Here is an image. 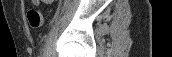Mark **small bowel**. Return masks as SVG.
I'll list each match as a JSON object with an SVG mask.
<instances>
[{
	"instance_id": "obj_1",
	"label": "small bowel",
	"mask_w": 172,
	"mask_h": 57,
	"mask_svg": "<svg viewBox=\"0 0 172 57\" xmlns=\"http://www.w3.org/2000/svg\"><path fill=\"white\" fill-rule=\"evenodd\" d=\"M44 2L45 3H51L52 1L51 0H45Z\"/></svg>"
}]
</instances>
